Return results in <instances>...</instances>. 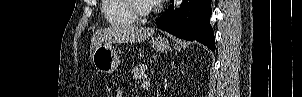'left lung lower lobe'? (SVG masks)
Wrapping results in <instances>:
<instances>
[{
  "mask_svg": "<svg viewBox=\"0 0 302 97\" xmlns=\"http://www.w3.org/2000/svg\"><path fill=\"white\" fill-rule=\"evenodd\" d=\"M212 0H184L181 9L171 5L157 21V26L179 38L197 40L215 50V39L209 18Z\"/></svg>",
  "mask_w": 302,
  "mask_h": 97,
  "instance_id": "0a47b994",
  "label": "left lung lower lobe"
}]
</instances>
